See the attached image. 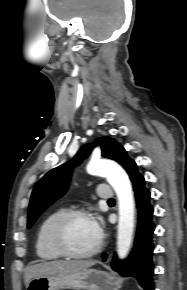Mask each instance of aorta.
<instances>
[{
    "instance_id": "1",
    "label": "aorta",
    "mask_w": 187,
    "mask_h": 290,
    "mask_svg": "<svg viewBox=\"0 0 187 290\" xmlns=\"http://www.w3.org/2000/svg\"><path fill=\"white\" fill-rule=\"evenodd\" d=\"M87 172L106 177L117 194L119 205L117 253L119 258L123 259L129 252L134 231L135 208L130 180L119 165L106 160H92L87 165Z\"/></svg>"
}]
</instances>
